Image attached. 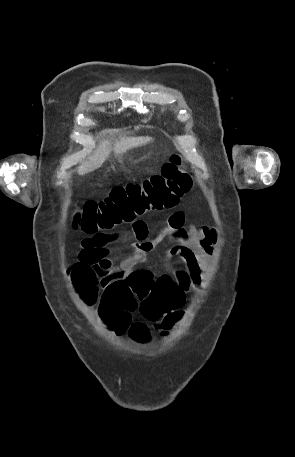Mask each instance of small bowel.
<instances>
[{"label": "small bowel", "instance_id": "obj_1", "mask_svg": "<svg viewBox=\"0 0 295 457\" xmlns=\"http://www.w3.org/2000/svg\"><path fill=\"white\" fill-rule=\"evenodd\" d=\"M148 232V224L143 219H137L131 224L126 235L134 239L130 243L132 253L121 261L119 269L124 273L125 278L128 273L137 270L136 266L142 263L148 253L159 243L165 238H171L174 244L168 249L167 256L171 261L182 264V268L172 267L170 275H162L159 278L166 276L174 281L180 308L185 302L186 294L200 286L203 274L210 267V258L218 239L217 231L207 226L197 228L194 224L186 227L184 212L176 211L168 217L164 227L154 239L148 240ZM120 237L119 233L99 231L83 238L78 260L93 265L111 264L107 257V245ZM141 271L151 274L147 270ZM102 286L105 287L104 280Z\"/></svg>", "mask_w": 295, "mask_h": 457}]
</instances>
